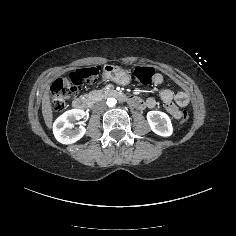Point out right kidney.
<instances>
[{
  "instance_id": "ca27d5eb",
  "label": "right kidney",
  "mask_w": 236,
  "mask_h": 236,
  "mask_svg": "<svg viewBox=\"0 0 236 236\" xmlns=\"http://www.w3.org/2000/svg\"><path fill=\"white\" fill-rule=\"evenodd\" d=\"M85 117L83 110L72 109L59 116L53 124V133L58 142L69 145L79 141L86 133V128L80 125L73 129L74 122Z\"/></svg>"
}]
</instances>
